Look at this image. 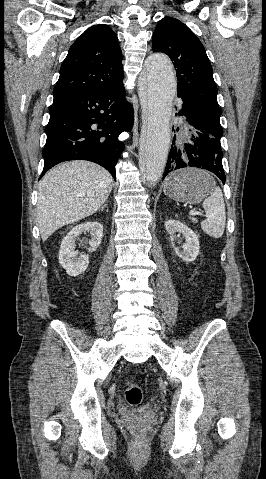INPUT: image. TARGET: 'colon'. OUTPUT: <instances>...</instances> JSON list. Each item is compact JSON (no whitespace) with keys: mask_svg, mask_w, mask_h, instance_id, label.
Masks as SVG:
<instances>
[{"mask_svg":"<svg viewBox=\"0 0 266 479\" xmlns=\"http://www.w3.org/2000/svg\"><path fill=\"white\" fill-rule=\"evenodd\" d=\"M125 399L128 405L130 406L140 405L143 399L142 389L138 385L128 381L126 390H125ZM134 440L138 444L141 443L143 441L142 433L140 432L136 433L134 436Z\"/></svg>","mask_w":266,"mask_h":479,"instance_id":"5ec220e1","label":"colon"}]
</instances>
